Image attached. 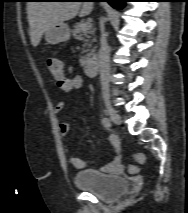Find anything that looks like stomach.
Returning a JSON list of instances; mask_svg holds the SVG:
<instances>
[{
	"label": "stomach",
	"instance_id": "0dacf381",
	"mask_svg": "<svg viewBox=\"0 0 188 213\" xmlns=\"http://www.w3.org/2000/svg\"><path fill=\"white\" fill-rule=\"evenodd\" d=\"M44 36L47 43L55 45L69 40L70 29L64 22L57 23L46 29Z\"/></svg>",
	"mask_w": 188,
	"mask_h": 213
}]
</instances>
